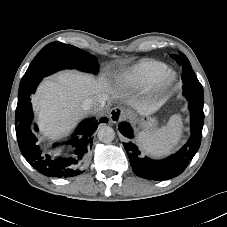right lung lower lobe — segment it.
<instances>
[{"instance_id":"right-lung-lower-lobe-1","label":"right lung lower lobe","mask_w":227,"mask_h":227,"mask_svg":"<svg viewBox=\"0 0 227 227\" xmlns=\"http://www.w3.org/2000/svg\"><path fill=\"white\" fill-rule=\"evenodd\" d=\"M42 78L19 88L18 104L15 113V126L18 145L24 158L40 173L50 177H72L83 173L82 165L86 161L87 152L92 147L93 133L98 124L108 122L107 118L83 121L76 130L71 144L75 147V155L68 159L51 157L47 149L39 143L35 132L38 127L32 122L33 112L31 95L35 92ZM80 135V138L76 135ZM54 144L53 147H56ZM47 147V146H45Z\"/></svg>"}]
</instances>
